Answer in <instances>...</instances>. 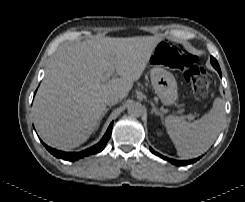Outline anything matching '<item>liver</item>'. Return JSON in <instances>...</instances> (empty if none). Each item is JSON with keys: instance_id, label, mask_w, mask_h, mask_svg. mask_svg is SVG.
<instances>
[{"instance_id": "liver-1", "label": "liver", "mask_w": 245, "mask_h": 202, "mask_svg": "<svg viewBox=\"0 0 245 202\" xmlns=\"http://www.w3.org/2000/svg\"><path fill=\"white\" fill-rule=\"evenodd\" d=\"M159 41L155 36L103 37L59 48L33 103L42 140L61 150L84 143L105 112L106 97L128 95ZM110 66L120 78L104 79Z\"/></svg>"}]
</instances>
